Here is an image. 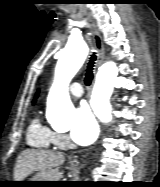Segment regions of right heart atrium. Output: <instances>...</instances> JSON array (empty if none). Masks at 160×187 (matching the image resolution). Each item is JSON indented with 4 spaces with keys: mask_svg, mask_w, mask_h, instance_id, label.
Masks as SVG:
<instances>
[{
    "mask_svg": "<svg viewBox=\"0 0 160 187\" xmlns=\"http://www.w3.org/2000/svg\"><path fill=\"white\" fill-rule=\"evenodd\" d=\"M55 144L57 147H67L70 145L69 140L66 135L60 134V133H55Z\"/></svg>",
    "mask_w": 160,
    "mask_h": 187,
    "instance_id": "right-heart-atrium-1",
    "label": "right heart atrium"
}]
</instances>
